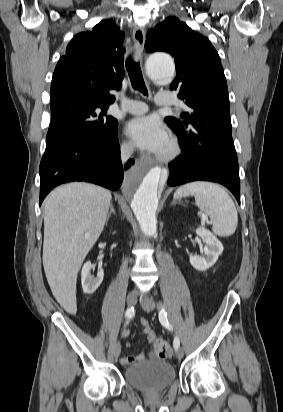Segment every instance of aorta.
<instances>
[{"label": "aorta", "instance_id": "aorta-1", "mask_svg": "<svg viewBox=\"0 0 283 412\" xmlns=\"http://www.w3.org/2000/svg\"><path fill=\"white\" fill-rule=\"evenodd\" d=\"M147 76L156 83H167L175 73L172 58L165 53H155L145 62ZM161 168H136L131 170L123 183L124 193L131 199L132 210L145 235L155 236L157 232L156 209Z\"/></svg>", "mask_w": 283, "mask_h": 412}]
</instances>
